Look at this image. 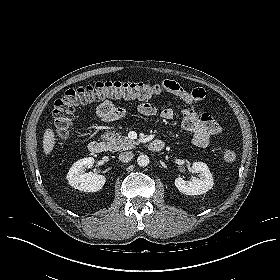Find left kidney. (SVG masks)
Instances as JSON below:
<instances>
[{
	"label": "left kidney",
	"mask_w": 280,
	"mask_h": 280,
	"mask_svg": "<svg viewBox=\"0 0 280 280\" xmlns=\"http://www.w3.org/2000/svg\"><path fill=\"white\" fill-rule=\"evenodd\" d=\"M192 170L199 173L198 177L185 181L182 178L175 179L176 188L186 195H201L209 191L214 184L213 176L203 162H193Z\"/></svg>",
	"instance_id": "5707ae66"
}]
</instances>
